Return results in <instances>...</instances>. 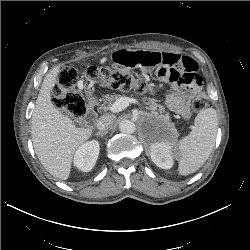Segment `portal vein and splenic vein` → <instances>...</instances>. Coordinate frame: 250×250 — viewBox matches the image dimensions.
<instances>
[{
    "instance_id": "obj_1",
    "label": "portal vein and splenic vein",
    "mask_w": 250,
    "mask_h": 250,
    "mask_svg": "<svg viewBox=\"0 0 250 250\" xmlns=\"http://www.w3.org/2000/svg\"><path fill=\"white\" fill-rule=\"evenodd\" d=\"M130 102V98L120 97L109 107V110L113 113L121 112L129 106Z\"/></svg>"
}]
</instances>
